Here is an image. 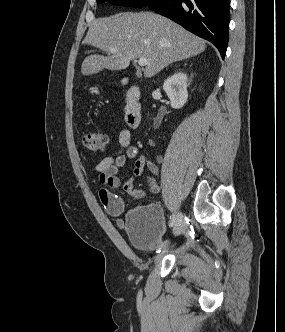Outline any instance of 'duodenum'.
<instances>
[{"mask_svg": "<svg viewBox=\"0 0 285 332\" xmlns=\"http://www.w3.org/2000/svg\"><path fill=\"white\" fill-rule=\"evenodd\" d=\"M141 91L137 85H130L126 91L125 121L130 128L136 129L142 121L140 104Z\"/></svg>", "mask_w": 285, "mask_h": 332, "instance_id": "1", "label": "duodenum"}]
</instances>
